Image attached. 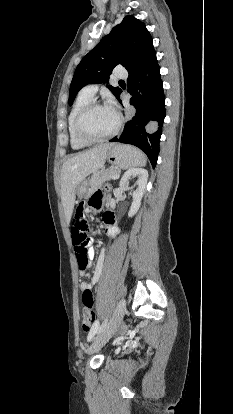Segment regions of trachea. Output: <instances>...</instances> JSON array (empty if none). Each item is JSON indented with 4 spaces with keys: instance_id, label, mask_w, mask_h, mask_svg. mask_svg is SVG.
I'll return each mask as SVG.
<instances>
[{
    "instance_id": "3493384b",
    "label": "trachea",
    "mask_w": 233,
    "mask_h": 414,
    "mask_svg": "<svg viewBox=\"0 0 233 414\" xmlns=\"http://www.w3.org/2000/svg\"><path fill=\"white\" fill-rule=\"evenodd\" d=\"M119 83H124V81L123 80H120Z\"/></svg>"
}]
</instances>
